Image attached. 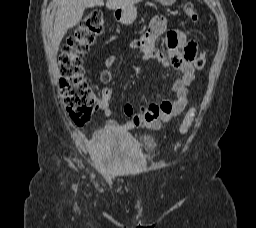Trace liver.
I'll use <instances>...</instances> for the list:
<instances>
[{
    "mask_svg": "<svg viewBox=\"0 0 256 228\" xmlns=\"http://www.w3.org/2000/svg\"><path fill=\"white\" fill-rule=\"evenodd\" d=\"M142 0H107L108 9H118L131 6ZM58 8L55 15V22L51 43L55 52L67 33L68 29L77 25L81 20L86 8L93 6H103V0H57Z\"/></svg>",
    "mask_w": 256,
    "mask_h": 228,
    "instance_id": "1",
    "label": "liver"
}]
</instances>
